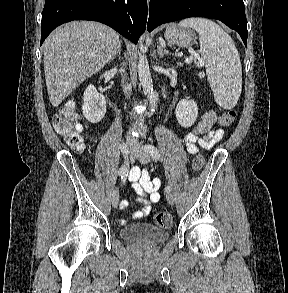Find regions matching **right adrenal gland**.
<instances>
[{
  "label": "right adrenal gland",
  "instance_id": "1",
  "mask_svg": "<svg viewBox=\"0 0 288 293\" xmlns=\"http://www.w3.org/2000/svg\"><path fill=\"white\" fill-rule=\"evenodd\" d=\"M120 54H121V41H119L118 46H117V50L115 51L113 57L111 58V60L109 62L111 63L112 61H114L116 59V57Z\"/></svg>",
  "mask_w": 288,
  "mask_h": 293
}]
</instances>
